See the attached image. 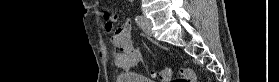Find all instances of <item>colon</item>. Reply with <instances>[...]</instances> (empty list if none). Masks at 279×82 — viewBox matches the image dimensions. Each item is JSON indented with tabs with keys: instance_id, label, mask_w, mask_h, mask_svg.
<instances>
[{
	"instance_id": "colon-1",
	"label": "colon",
	"mask_w": 279,
	"mask_h": 82,
	"mask_svg": "<svg viewBox=\"0 0 279 82\" xmlns=\"http://www.w3.org/2000/svg\"><path fill=\"white\" fill-rule=\"evenodd\" d=\"M172 69L171 68H164L159 73V79L161 82H169L172 76ZM195 75L192 70L190 69H181L179 72L178 77L176 78V82H194Z\"/></svg>"
}]
</instances>
